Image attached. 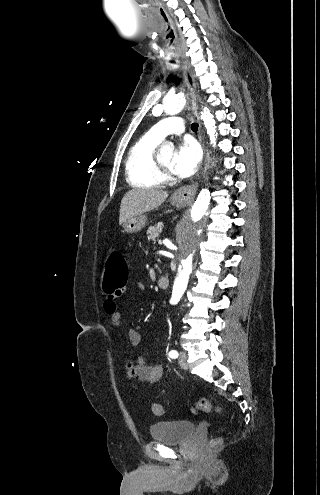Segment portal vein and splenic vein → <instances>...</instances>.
Instances as JSON below:
<instances>
[{"instance_id": "portal-vein-and-splenic-vein-1", "label": "portal vein and splenic vein", "mask_w": 320, "mask_h": 495, "mask_svg": "<svg viewBox=\"0 0 320 495\" xmlns=\"http://www.w3.org/2000/svg\"><path fill=\"white\" fill-rule=\"evenodd\" d=\"M158 243H159V244H161V243H162V241H161V240H159V241H158Z\"/></svg>"}]
</instances>
